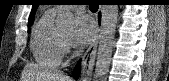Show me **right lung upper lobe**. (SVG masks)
<instances>
[{"label": "right lung upper lobe", "instance_id": "cb5924a9", "mask_svg": "<svg viewBox=\"0 0 169 81\" xmlns=\"http://www.w3.org/2000/svg\"><path fill=\"white\" fill-rule=\"evenodd\" d=\"M36 8H37V5H34V6H33V9H32V12H31V14H30V16H29V22H28V23L33 22Z\"/></svg>", "mask_w": 169, "mask_h": 81}]
</instances>
